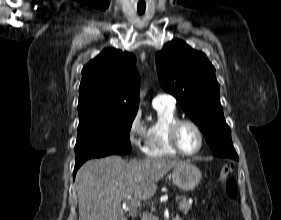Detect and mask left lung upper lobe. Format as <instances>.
<instances>
[{
	"mask_svg": "<svg viewBox=\"0 0 281 220\" xmlns=\"http://www.w3.org/2000/svg\"><path fill=\"white\" fill-rule=\"evenodd\" d=\"M159 82L199 126L213 155L237 159L219 99L215 68L203 52L176 39L155 56Z\"/></svg>",
	"mask_w": 281,
	"mask_h": 220,
	"instance_id": "left-lung-upper-lobe-1",
	"label": "left lung upper lobe"
}]
</instances>
